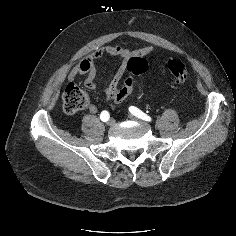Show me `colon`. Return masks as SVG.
Here are the masks:
<instances>
[{
    "instance_id": "colon-1",
    "label": "colon",
    "mask_w": 236,
    "mask_h": 236,
    "mask_svg": "<svg viewBox=\"0 0 236 236\" xmlns=\"http://www.w3.org/2000/svg\"><path fill=\"white\" fill-rule=\"evenodd\" d=\"M166 68L172 74L175 81L179 84L184 83L188 78L187 65L177 59H171L167 62ZM127 69L130 75L124 81L113 98V102L118 104L130 96L134 90L135 77L144 74L148 69V63L144 58L132 57L127 63ZM89 103V97L86 92L75 84H69L63 93V107L66 113L75 114L84 109Z\"/></svg>"
}]
</instances>
